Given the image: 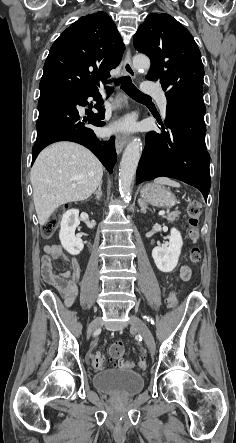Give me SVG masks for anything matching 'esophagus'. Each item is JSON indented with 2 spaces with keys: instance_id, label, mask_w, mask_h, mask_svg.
<instances>
[{
  "instance_id": "esophagus-1",
  "label": "esophagus",
  "mask_w": 236,
  "mask_h": 443,
  "mask_svg": "<svg viewBox=\"0 0 236 443\" xmlns=\"http://www.w3.org/2000/svg\"><path fill=\"white\" fill-rule=\"evenodd\" d=\"M123 70L126 75L130 76L131 78H135L136 73L131 63V54L130 50H127V53L125 55V58L123 60ZM129 138L125 136H117L115 140L116 145V152L117 154H120L125 147V145L128 143Z\"/></svg>"
}]
</instances>
